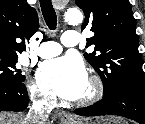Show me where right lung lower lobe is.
<instances>
[{
  "instance_id": "obj_1",
  "label": "right lung lower lobe",
  "mask_w": 145,
  "mask_h": 124,
  "mask_svg": "<svg viewBox=\"0 0 145 124\" xmlns=\"http://www.w3.org/2000/svg\"><path fill=\"white\" fill-rule=\"evenodd\" d=\"M27 89L23 82H0V111H21L28 106Z\"/></svg>"
}]
</instances>
